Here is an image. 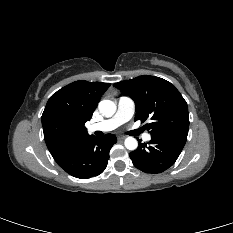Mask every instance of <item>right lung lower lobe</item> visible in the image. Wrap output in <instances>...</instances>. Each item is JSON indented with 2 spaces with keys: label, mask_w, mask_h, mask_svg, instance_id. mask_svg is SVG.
I'll return each mask as SVG.
<instances>
[{
  "label": "right lung lower lobe",
  "mask_w": 233,
  "mask_h": 233,
  "mask_svg": "<svg viewBox=\"0 0 233 233\" xmlns=\"http://www.w3.org/2000/svg\"><path fill=\"white\" fill-rule=\"evenodd\" d=\"M116 142L113 134L103 137L93 136L57 163L76 178L85 179L97 176L107 167L109 151Z\"/></svg>",
  "instance_id": "obj_1"
}]
</instances>
